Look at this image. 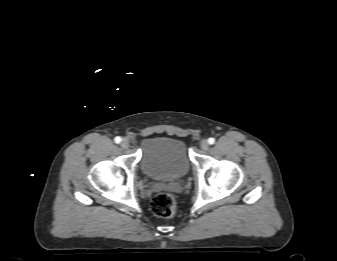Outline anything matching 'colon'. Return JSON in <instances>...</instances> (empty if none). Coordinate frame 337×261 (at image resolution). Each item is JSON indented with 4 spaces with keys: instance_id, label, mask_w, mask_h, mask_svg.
<instances>
[{
    "instance_id": "obj_1",
    "label": "colon",
    "mask_w": 337,
    "mask_h": 261,
    "mask_svg": "<svg viewBox=\"0 0 337 261\" xmlns=\"http://www.w3.org/2000/svg\"><path fill=\"white\" fill-rule=\"evenodd\" d=\"M151 210L157 217L172 218L178 211L177 200L170 193H159L151 200Z\"/></svg>"
}]
</instances>
